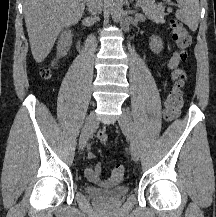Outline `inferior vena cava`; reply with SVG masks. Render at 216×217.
Segmentation results:
<instances>
[{
	"mask_svg": "<svg viewBox=\"0 0 216 217\" xmlns=\"http://www.w3.org/2000/svg\"><path fill=\"white\" fill-rule=\"evenodd\" d=\"M88 11L92 16H96L101 10V0H86Z\"/></svg>",
	"mask_w": 216,
	"mask_h": 217,
	"instance_id": "1",
	"label": "inferior vena cava"
}]
</instances>
